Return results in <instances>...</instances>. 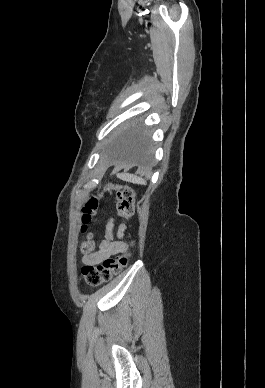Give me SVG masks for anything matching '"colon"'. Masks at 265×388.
Returning <instances> with one entry per match:
<instances>
[{
	"mask_svg": "<svg viewBox=\"0 0 265 388\" xmlns=\"http://www.w3.org/2000/svg\"><path fill=\"white\" fill-rule=\"evenodd\" d=\"M106 191L116 193L117 213L120 218L128 220L134 215L135 192L132 187L127 185H109L106 187ZM99 199V196L90 197L82 208L81 231L86 234V239L81 243L80 250L84 255L92 253L94 249V238L93 235L88 232V224L98 211ZM129 257L130 252L124 251L113 257L104 259L98 265L84 266L81 273L85 282L93 287L109 282L126 267Z\"/></svg>",
	"mask_w": 265,
	"mask_h": 388,
	"instance_id": "colon-1",
	"label": "colon"
}]
</instances>
